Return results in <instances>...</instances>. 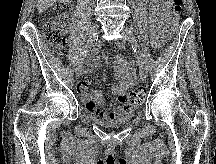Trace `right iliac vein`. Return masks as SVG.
<instances>
[{
	"instance_id": "63e3f726",
	"label": "right iliac vein",
	"mask_w": 216,
	"mask_h": 164,
	"mask_svg": "<svg viewBox=\"0 0 216 164\" xmlns=\"http://www.w3.org/2000/svg\"><path fill=\"white\" fill-rule=\"evenodd\" d=\"M98 29H99L98 24H93L92 25V27L90 29L89 36H88V42L92 41L95 38V36H96V34L98 32ZM81 63L83 64V62H81ZM82 64H81V66H82ZM82 69H83V67H81L80 69L77 67V69H76V76L77 77H79L81 75Z\"/></svg>"
}]
</instances>
